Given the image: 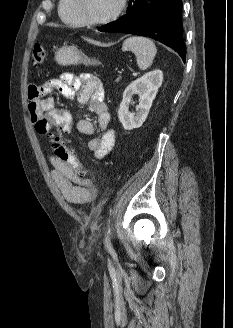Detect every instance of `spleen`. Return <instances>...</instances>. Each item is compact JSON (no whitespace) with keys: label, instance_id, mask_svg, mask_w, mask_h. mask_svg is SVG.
Masks as SVG:
<instances>
[{"label":"spleen","instance_id":"3e777b00","mask_svg":"<svg viewBox=\"0 0 233 328\" xmlns=\"http://www.w3.org/2000/svg\"><path fill=\"white\" fill-rule=\"evenodd\" d=\"M122 51H131L136 56L137 65L141 70L149 68L157 53L154 42L143 36L127 38L122 45Z\"/></svg>","mask_w":233,"mask_h":328}]
</instances>
